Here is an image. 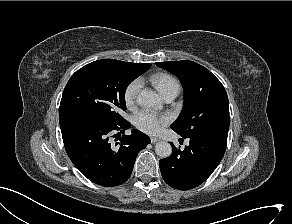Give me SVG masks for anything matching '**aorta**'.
I'll return each instance as SVG.
<instances>
[{
	"instance_id": "762f6f07",
	"label": "aorta",
	"mask_w": 292,
	"mask_h": 224,
	"mask_svg": "<svg viewBox=\"0 0 292 224\" xmlns=\"http://www.w3.org/2000/svg\"><path fill=\"white\" fill-rule=\"evenodd\" d=\"M137 102L140 106L145 108L158 107L161 104L159 95L153 91L143 90L137 97ZM155 152L161 158H167L172 153V147L170 143L166 141H160L155 145Z\"/></svg>"
}]
</instances>
